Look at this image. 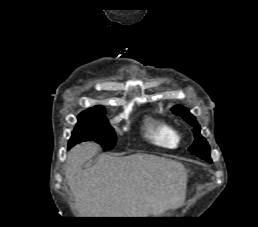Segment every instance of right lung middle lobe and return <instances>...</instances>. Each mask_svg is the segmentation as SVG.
<instances>
[{"label": "right lung middle lobe", "instance_id": "right-lung-middle-lobe-1", "mask_svg": "<svg viewBox=\"0 0 258 227\" xmlns=\"http://www.w3.org/2000/svg\"><path fill=\"white\" fill-rule=\"evenodd\" d=\"M82 141H95L104 150L116 145V134L108 123L104 110H86L78 116V123L72 132L68 146Z\"/></svg>", "mask_w": 258, "mask_h": 227}]
</instances>
